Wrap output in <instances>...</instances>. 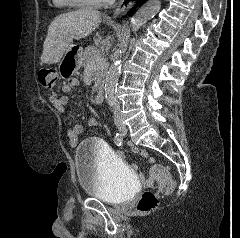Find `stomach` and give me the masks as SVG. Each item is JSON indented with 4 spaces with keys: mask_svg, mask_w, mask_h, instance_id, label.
I'll use <instances>...</instances> for the list:
<instances>
[{
    "mask_svg": "<svg viewBox=\"0 0 240 238\" xmlns=\"http://www.w3.org/2000/svg\"><path fill=\"white\" fill-rule=\"evenodd\" d=\"M82 47L71 44L58 64V73L61 78L67 79L76 73L82 66Z\"/></svg>",
    "mask_w": 240,
    "mask_h": 238,
    "instance_id": "stomach-1",
    "label": "stomach"
}]
</instances>
